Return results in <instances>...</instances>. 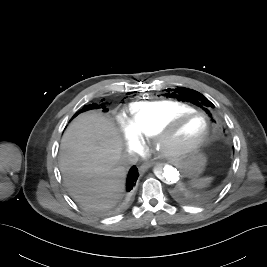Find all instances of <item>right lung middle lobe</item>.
I'll return each mask as SVG.
<instances>
[{
  "instance_id": "right-lung-middle-lobe-1",
  "label": "right lung middle lobe",
  "mask_w": 267,
  "mask_h": 267,
  "mask_svg": "<svg viewBox=\"0 0 267 267\" xmlns=\"http://www.w3.org/2000/svg\"><path fill=\"white\" fill-rule=\"evenodd\" d=\"M97 108H98V106L96 104L87 105V106H84V108L82 110L77 112V114H79V113H81L83 111L89 110V109H97Z\"/></svg>"
}]
</instances>
